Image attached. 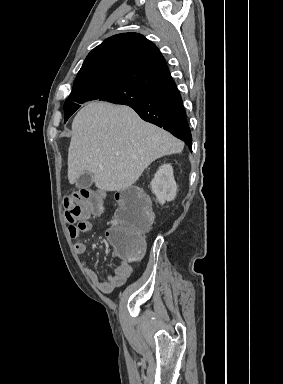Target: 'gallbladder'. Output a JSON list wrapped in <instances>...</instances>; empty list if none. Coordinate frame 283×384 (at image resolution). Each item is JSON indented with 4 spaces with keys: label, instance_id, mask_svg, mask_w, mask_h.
I'll return each instance as SVG.
<instances>
[{
    "label": "gallbladder",
    "instance_id": "1",
    "mask_svg": "<svg viewBox=\"0 0 283 384\" xmlns=\"http://www.w3.org/2000/svg\"><path fill=\"white\" fill-rule=\"evenodd\" d=\"M92 182H93L92 174H90V172H85V174H82V176L78 178L76 182V186L77 188L78 186H87V188H90V186H92Z\"/></svg>",
    "mask_w": 283,
    "mask_h": 384
}]
</instances>
